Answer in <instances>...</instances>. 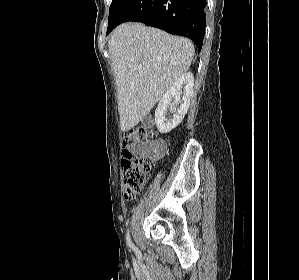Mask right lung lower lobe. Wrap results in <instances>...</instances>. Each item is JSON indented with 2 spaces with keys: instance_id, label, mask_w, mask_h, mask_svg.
Masks as SVG:
<instances>
[{
  "instance_id": "obj_1",
  "label": "right lung lower lobe",
  "mask_w": 299,
  "mask_h": 280,
  "mask_svg": "<svg viewBox=\"0 0 299 280\" xmlns=\"http://www.w3.org/2000/svg\"><path fill=\"white\" fill-rule=\"evenodd\" d=\"M205 6L206 0H127L106 34L123 22H142L188 37L200 51L205 34Z\"/></svg>"
}]
</instances>
